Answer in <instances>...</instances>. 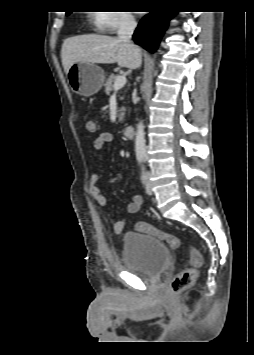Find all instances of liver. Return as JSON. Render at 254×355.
<instances>
[{
    "label": "liver",
    "instance_id": "liver-1",
    "mask_svg": "<svg viewBox=\"0 0 254 355\" xmlns=\"http://www.w3.org/2000/svg\"><path fill=\"white\" fill-rule=\"evenodd\" d=\"M141 57L139 47H131L118 37L100 34L79 35L64 41L61 50L62 65L65 73L77 62L117 63L128 69L137 68Z\"/></svg>",
    "mask_w": 254,
    "mask_h": 355
}]
</instances>
